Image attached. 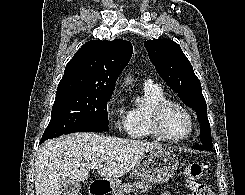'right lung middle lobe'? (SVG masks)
<instances>
[{
  "label": "right lung middle lobe",
  "instance_id": "1",
  "mask_svg": "<svg viewBox=\"0 0 245 195\" xmlns=\"http://www.w3.org/2000/svg\"><path fill=\"white\" fill-rule=\"evenodd\" d=\"M112 92L73 90L56 95L51 120L41 141L55 138L92 124L108 125L107 102Z\"/></svg>",
  "mask_w": 245,
  "mask_h": 195
}]
</instances>
